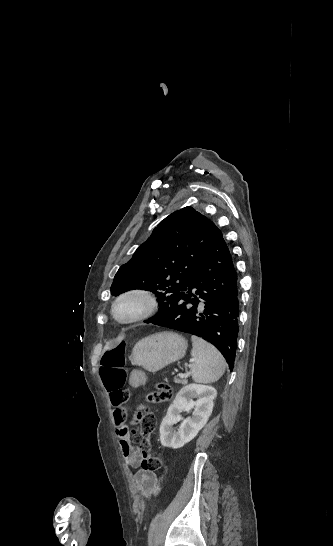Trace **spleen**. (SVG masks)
Instances as JSON below:
<instances>
[{
  "instance_id": "1",
  "label": "spleen",
  "mask_w": 333,
  "mask_h": 546,
  "mask_svg": "<svg viewBox=\"0 0 333 546\" xmlns=\"http://www.w3.org/2000/svg\"><path fill=\"white\" fill-rule=\"evenodd\" d=\"M191 375L195 382H216L225 372L226 362L221 353L205 340L192 336Z\"/></svg>"
}]
</instances>
